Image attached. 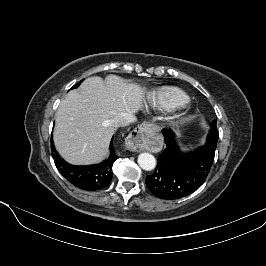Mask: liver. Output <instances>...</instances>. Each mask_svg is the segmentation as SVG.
<instances>
[{"label":"liver","mask_w":266,"mask_h":266,"mask_svg":"<svg viewBox=\"0 0 266 266\" xmlns=\"http://www.w3.org/2000/svg\"><path fill=\"white\" fill-rule=\"evenodd\" d=\"M144 89L116 75L93 76L61 101L55 116L54 143L70 163L88 165L108 155L115 127L111 120L134 114L143 105Z\"/></svg>","instance_id":"6515ba94"}]
</instances>
